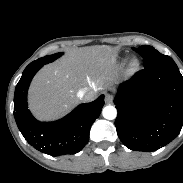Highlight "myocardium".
Instances as JSON below:
<instances>
[{"label": "myocardium", "mask_w": 183, "mask_h": 183, "mask_svg": "<svg viewBox=\"0 0 183 183\" xmlns=\"http://www.w3.org/2000/svg\"><path fill=\"white\" fill-rule=\"evenodd\" d=\"M140 67V61L134 57L129 61V65H128V71L130 73H135Z\"/></svg>", "instance_id": "1"}]
</instances>
